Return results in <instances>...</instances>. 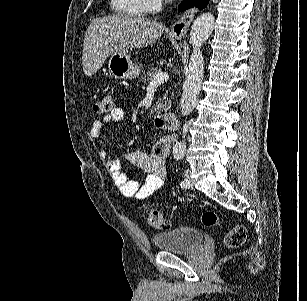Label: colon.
Masks as SVG:
<instances>
[{
  "instance_id": "1",
  "label": "colon",
  "mask_w": 307,
  "mask_h": 301,
  "mask_svg": "<svg viewBox=\"0 0 307 301\" xmlns=\"http://www.w3.org/2000/svg\"><path fill=\"white\" fill-rule=\"evenodd\" d=\"M112 103L110 96L102 93L95 97L92 102V109L96 113H105L111 110ZM147 223L156 229H164L168 223L164 215L155 208L145 210ZM202 224L206 227H215L220 223L219 216L213 211H205L201 217ZM246 229L242 225H234L224 236L223 242L229 248L241 246L246 239Z\"/></svg>"
}]
</instances>
